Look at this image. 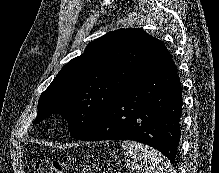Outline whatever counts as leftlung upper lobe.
Segmentation results:
<instances>
[{
  "label": "left lung upper lobe",
  "mask_w": 219,
  "mask_h": 173,
  "mask_svg": "<svg viewBox=\"0 0 219 173\" xmlns=\"http://www.w3.org/2000/svg\"><path fill=\"white\" fill-rule=\"evenodd\" d=\"M161 45L137 28L115 30L92 41L41 94L34 123L59 113L68 121L71 136L79 139L137 82L140 69Z\"/></svg>",
  "instance_id": "5c2ea615"
}]
</instances>
